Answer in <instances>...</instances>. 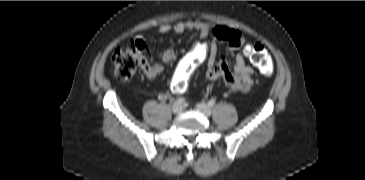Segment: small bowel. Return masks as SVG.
<instances>
[{
  "label": "small bowel",
  "instance_id": "obj_1",
  "mask_svg": "<svg viewBox=\"0 0 365 180\" xmlns=\"http://www.w3.org/2000/svg\"><path fill=\"white\" fill-rule=\"evenodd\" d=\"M196 31L199 34L198 44L195 49L180 61L171 80L173 83L185 73L203 64L205 66V81L213 82L223 79L226 86L233 92H247L253 85L254 70L245 62L242 47L246 39L239 30L226 25H211L203 21L177 22L164 24L158 29L159 34L169 32L183 33ZM209 38V40H208ZM226 43L228 53L219 58V45ZM157 57L164 63H172L176 60V53L172 49L157 52ZM145 74L150 78H164L165 70L161 65L146 64L143 66ZM168 94L162 92L160 100H166Z\"/></svg>",
  "mask_w": 365,
  "mask_h": 180
}]
</instances>
